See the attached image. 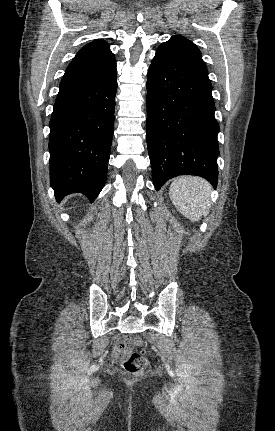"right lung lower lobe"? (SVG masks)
<instances>
[{
  "instance_id": "right-lung-lower-lobe-1",
  "label": "right lung lower lobe",
  "mask_w": 275,
  "mask_h": 431,
  "mask_svg": "<svg viewBox=\"0 0 275 431\" xmlns=\"http://www.w3.org/2000/svg\"><path fill=\"white\" fill-rule=\"evenodd\" d=\"M116 69L59 89L50 120V182L60 201L82 192L93 202L102 190L114 129Z\"/></svg>"
}]
</instances>
